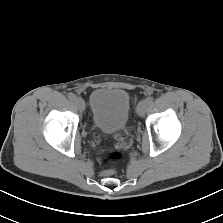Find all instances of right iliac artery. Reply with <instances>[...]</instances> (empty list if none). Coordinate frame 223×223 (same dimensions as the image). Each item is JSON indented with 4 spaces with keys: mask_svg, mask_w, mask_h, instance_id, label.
<instances>
[{
    "mask_svg": "<svg viewBox=\"0 0 223 223\" xmlns=\"http://www.w3.org/2000/svg\"><path fill=\"white\" fill-rule=\"evenodd\" d=\"M68 98L73 101L76 99V95L74 93L70 92V93H68Z\"/></svg>",
    "mask_w": 223,
    "mask_h": 223,
    "instance_id": "82829eb1",
    "label": "right iliac artery"
}]
</instances>
